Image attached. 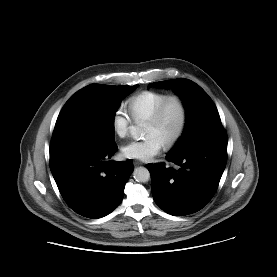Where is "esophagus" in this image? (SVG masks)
<instances>
[{
	"label": "esophagus",
	"instance_id": "obj_1",
	"mask_svg": "<svg viewBox=\"0 0 277 277\" xmlns=\"http://www.w3.org/2000/svg\"><path fill=\"white\" fill-rule=\"evenodd\" d=\"M143 163L140 161H134V165L138 166V165H142Z\"/></svg>",
	"mask_w": 277,
	"mask_h": 277
}]
</instances>
